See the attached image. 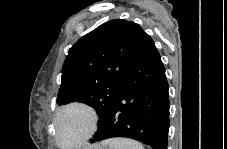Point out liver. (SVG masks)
<instances>
[{"label":"liver","mask_w":227,"mask_h":149,"mask_svg":"<svg viewBox=\"0 0 227 149\" xmlns=\"http://www.w3.org/2000/svg\"><path fill=\"white\" fill-rule=\"evenodd\" d=\"M96 147H103V146H92V148H96Z\"/></svg>","instance_id":"1"}]
</instances>
